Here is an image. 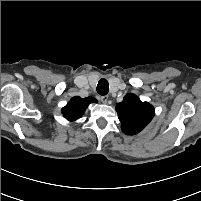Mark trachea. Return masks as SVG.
Returning <instances> with one entry per match:
<instances>
[{
	"label": "trachea",
	"instance_id": "trachea-1",
	"mask_svg": "<svg viewBox=\"0 0 201 201\" xmlns=\"http://www.w3.org/2000/svg\"><path fill=\"white\" fill-rule=\"evenodd\" d=\"M97 92L104 96L109 92V84L106 79H100L97 85Z\"/></svg>",
	"mask_w": 201,
	"mask_h": 201
}]
</instances>
